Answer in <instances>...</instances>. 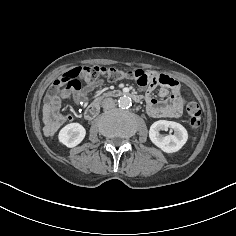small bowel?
Wrapping results in <instances>:
<instances>
[{
	"instance_id": "1",
	"label": "small bowel",
	"mask_w": 236,
	"mask_h": 236,
	"mask_svg": "<svg viewBox=\"0 0 236 236\" xmlns=\"http://www.w3.org/2000/svg\"><path fill=\"white\" fill-rule=\"evenodd\" d=\"M143 72L141 70H138ZM149 82L147 85H140L142 87L148 86L149 90L155 86L160 85L158 94L161 100H157L151 96L146 97V108L148 113L156 118L174 119L181 116L185 101L181 95L178 82L165 74L155 72H148ZM173 80L175 83L170 86L169 81ZM95 82L87 85L76 91H66L62 99L71 97L76 104L83 105L88 101V94L98 85ZM171 89V94L169 93ZM60 101H55L47 98L43 106V123L44 133L48 137H53L60 127L67 121L72 120L71 115H63L60 112Z\"/></svg>"
}]
</instances>
